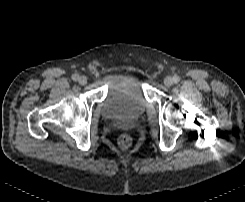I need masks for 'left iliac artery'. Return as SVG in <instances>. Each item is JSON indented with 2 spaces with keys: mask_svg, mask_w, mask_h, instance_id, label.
Listing matches in <instances>:
<instances>
[{
  "mask_svg": "<svg viewBox=\"0 0 245 202\" xmlns=\"http://www.w3.org/2000/svg\"><path fill=\"white\" fill-rule=\"evenodd\" d=\"M179 81H180L179 76H176V75H175V76L173 77V82H174V83H178Z\"/></svg>",
  "mask_w": 245,
  "mask_h": 202,
  "instance_id": "44dca946",
  "label": "left iliac artery"
}]
</instances>
